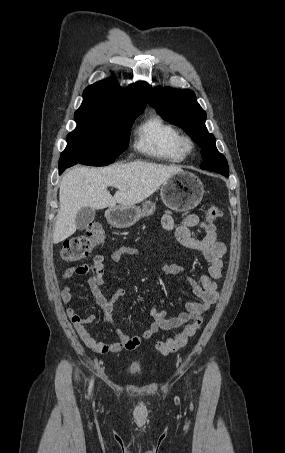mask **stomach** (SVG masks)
<instances>
[{"label":"stomach","mask_w":285,"mask_h":453,"mask_svg":"<svg viewBox=\"0 0 285 453\" xmlns=\"http://www.w3.org/2000/svg\"><path fill=\"white\" fill-rule=\"evenodd\" d=\"M204 187L201 180L190 172H177L164 182L160 189L163 203L173 211L185 212L195 208L202 200ZM155 211V204L145 201L142 208L138 206H117L107 210L108 222L117 228L134 225L141 217L149 216Z\"/></svg>","instance_id":"0dacf381"}]
</instances>
